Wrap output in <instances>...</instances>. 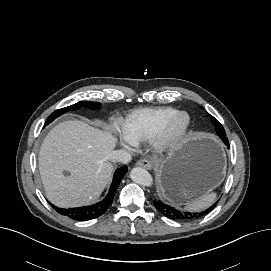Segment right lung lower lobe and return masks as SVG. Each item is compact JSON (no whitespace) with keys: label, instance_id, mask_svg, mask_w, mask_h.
<instances>
[{"label":"right lung lower lobe","instance_id":"98d812e1","mask_svg":"<svg viewBox=\"0 0 271 271\" xmlns=\"http://www.w3.org/2000/svg\"><path fill=\"white\" fill-rule=\"evenodd\" d=\"M127 172V166H124L120 169H118L113 177V182L111 184L110 190L108 195L104 200L101 202L92 205V206H86V207H79V208H70V209H63L58 208L54 205L52 207L59 213L65 216L70 217L71 219L78 220V221H85V220H91L94 218H97L101 216L103 213L106 212V210L112 205L114 193L119 186L122 178Z\"/></svg>","mask_w":271,"mask_h":271}]
</instances>
